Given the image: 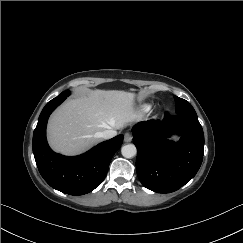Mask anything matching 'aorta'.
Segmentation results:
<instances>
[{
    "instance_id": "762f6f07",
    "label": "aorta",
    "mask_w": 243,
    "mask_h": 243,
    "mask_svg": "<svg viewBox=\"0 0 243 243\" xmlns=\"http://www.w3.org/2000/svg\"><path fill=\"white\" fill-rule=\"evenodd\" d=\"M121 153L125 158H132L136 155L137 149L134 144H127L121 148Z\"/></svg>"
}]
</instances>
